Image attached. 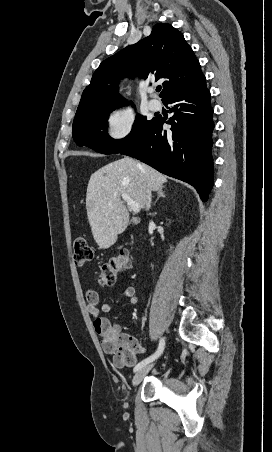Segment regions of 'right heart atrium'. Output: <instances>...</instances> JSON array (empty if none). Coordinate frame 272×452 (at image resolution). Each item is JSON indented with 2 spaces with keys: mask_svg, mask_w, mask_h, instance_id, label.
<instances>
[{
  "mask_svg": "<svg viewBox=\"0 0 272 452\" xmlns=\"http://www.w3.org/2000/svg\"><path fill=\"white\" fill-rule=\"evenodd\" d=\"M135 123L136 116L133 110L127 106H118L106 115V136L113 141L122 140L133 131Z\"/></svg>",
  "mask_w": 272,
  "mask_h": 452,
  "instance_id": "d8ad5b80",
  "label": "right heart atrium"
}]
</instances>
